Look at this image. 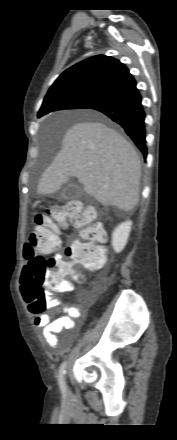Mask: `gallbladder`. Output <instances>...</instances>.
<instances>
[{
  "mask_svg": "<svg viewBox=\"0 0 177 440\" xmlns=\"http://www.w3.org/2000/svg\"><path fill=\"white\" fill-rule=\"evenodd\" d=\"M82 195V187L74 182H70L56 198L59 200H72L79 198Z\"/></svg>",
  "mask_w": 177,
  "mask_h": 440,
  "instance_id": "gallbladder-1",
  "label": "gallbladder"
}]
</instances>
